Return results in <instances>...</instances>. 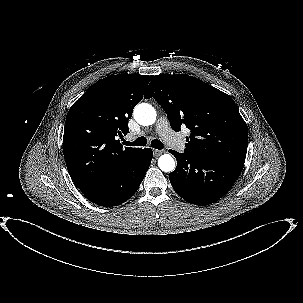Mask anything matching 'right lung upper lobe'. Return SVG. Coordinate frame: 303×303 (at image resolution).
I'll return each instance as SVG.
<instances>
[{"label":"right lung upper lobe","mask_w":303,"mask_h":303,"mask_svg":"<svg viewBox=\"0 0 303 303\" xmlns=\"http://www.w3.org/2000/svg\"><path fill=\"white\" fill-rule=\"evenodd\" d=\"M153 76L112 75L93 84L70 108L63 152L71 179L88 192L115 177L143 149L123 147L133 108L142 100Z\"/></svg>","instance_id":"cb5924a9"}]
</instances>
